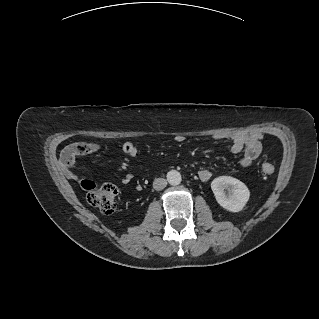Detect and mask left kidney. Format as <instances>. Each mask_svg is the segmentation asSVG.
I'll return each mask as SVG.
<instances>
[{
    "mask_svg": "<svg viewBox=\"0 0 319 319\" xmlns=\"http://www.w3.org/2000/svg\"><path fill=\"white\" fill-rule=\"evenodd\" d=\"M211 189L218 204L223 209L233 213L242 211L250 198L248 187L230 176L216 178L212 182Z\"/></svg>",
    "mask_w": 319,
    "mask_h": 319,
    "instance_id": "5707ae66",
    "label": "left kidney"
}]
</instances>
